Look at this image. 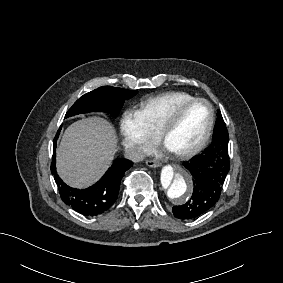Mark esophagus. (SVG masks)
Masks as SVG:
<instances>
[{"label":"esophagus","instance_id":"1","mask_svg":"<svg viewBox=\"0 0 283 283\" xmlns=\"http://www.w3.org/2000/svg\"><path fill=\"white\" fill-rule=\"evenodd\" d=\"M146 164L149 167H159V166H161V163L157 160H147Z\"/></svg>","mask_w":283,"mask_h":283}]
</instances>
